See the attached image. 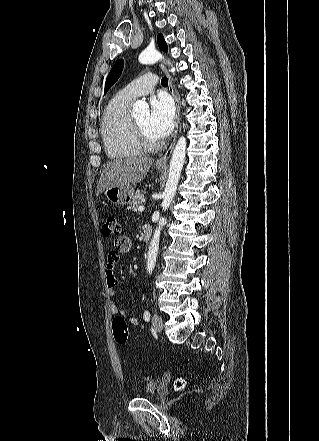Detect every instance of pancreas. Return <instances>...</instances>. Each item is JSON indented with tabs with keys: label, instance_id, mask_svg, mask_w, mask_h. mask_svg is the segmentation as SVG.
<instances>
[{
	"label": "pancreas",
	"instance_id": "cf45deb5",
	"mask_svg": "<svg viewBox=\"0 0 319 441\" xmlns=\"http://www.w3.org/2000/svg\"><path fill=\"white\" fill-rule=\"evenodd\" d=\"M144 202V195L137 191L133 200L129 203L128 209L132 211H137L138 207Z\"/></svg>",
	"mask_w": 319,
	"mask_h": 441
}]
</instances>
